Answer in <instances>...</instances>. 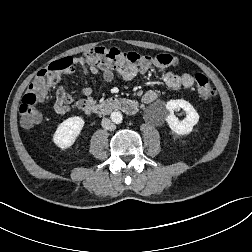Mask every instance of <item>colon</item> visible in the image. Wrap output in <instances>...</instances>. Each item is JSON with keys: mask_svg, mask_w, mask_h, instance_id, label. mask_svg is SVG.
<instances>
[{"mask_svg": "<svg viewBox=\"0 0 252 252\" xmlns=\"http://www.w3.org/2000/svg\"><path fill=\"white\" fill-rule=\"evenodd\" d=\"M86 58L87 61L101 69L137 68L143 71L150 68H174L180 64L176 57L169 54L147 57L135 52L122 51L118 47L103 46L89 50L86 53ZM71 66V58L66 57L52 62L48 67L37 73L19 106V114L23 126L31 127L41 121L42 112L38 107L39 102L45 98L47 90L57 83L61 73ZM195 84L197 93L203 100H211L215 97L216 90L204 74H196Z\"/></svg>", "mask_w": 252, "mask_h": 252, "instance_id": "5ec220e1", "label": "colon"}]
</instances>
